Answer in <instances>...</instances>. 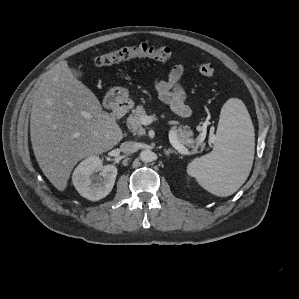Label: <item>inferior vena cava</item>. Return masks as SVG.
<instances>
[{
    "instance_id": "obj_1",
    "label": "inferior vena cava",
    "mask_w": 299,
    "mask_h": 299,
    "mask_svg": "<svg viewBox=\"0 0 299 299\" xmlns=\"http://www.w3.org/2000/svg\"><path fill=\"white\" fill-rule=\"evenodd\" d=\"M138 149V145L133 141H126L120 145V150L124 153H134Z\"/></svg>"
}]
</instances>
